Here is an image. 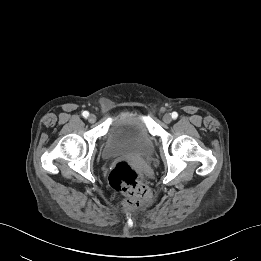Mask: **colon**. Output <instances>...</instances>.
<instances>
[{"mask_svg":"<svg viewBox=\"0 0 261 261\" xmlns=\"http://www.w3.org/2000/svg\"><path fill=\"white\" fill-rule=\"evenodd\" d=\"M110 186L124 195V205L140 207L150 199V190L143 174L126 161L118 162L109 175Z\"/></svg>","mask_w":261,"mask_h":261,"instance_id":"1","label":"colon"}]
</instances>
